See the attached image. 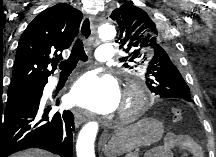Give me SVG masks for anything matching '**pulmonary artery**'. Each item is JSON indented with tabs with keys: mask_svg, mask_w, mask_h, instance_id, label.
<instances>
[{
	"mask_svg": "<svg viewBox=\"0 0 216 157\" xmlns=\"http://www.w3.org/2000/svg\"><path fill=\"white\" fill-rule=\"evenodd\" d=\"M115 52L112 45H101L97 48L95 52V58L98 61H110L114 58ZM56 80L52 81L51 86L53 87L56 84Z\"/></svg>",
	"mask_w": 216,
	"mask_h": 157,
	"instance_id": "pulmonary-artery-1",
	"label": "pulmonary artery"
}]
</instances>
